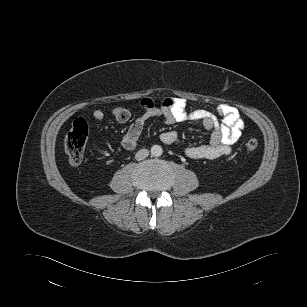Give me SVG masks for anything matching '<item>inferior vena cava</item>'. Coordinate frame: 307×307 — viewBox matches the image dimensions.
Instances as JSON below:
<instances>
[{
	"label": "inferior vena cava",
	"instance_id": "602c4592",
	"mask_svg": "<svg viewBox=\"0 0 307 307\" xmlns=\"http://www.w3.org/2000/svg\"><path fill=\"white\" fill-rule=\"evenodd\" d=\"M149 155V151L147 149H140L137 151L135 158L136 160L140 161L145 159Z\"/></svg>",
	"mask_w": 307,
	"mask_h": 307
}]
</instances>
